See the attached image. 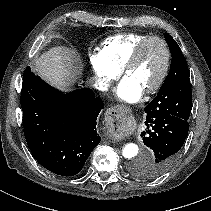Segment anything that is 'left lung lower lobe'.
<instances>
[{"mask_svg":"<svg viewBox=\"0 0 211 211\" xmlns=\"http://www.w3.org/2000/svg\"><path fill=\"white\" fill-rule=\"evenodd\" d=\"M147 131L141 133L152 158L137 163L143 177L155 178L176 161L189 131L188 121L169 114L147 117Z\"/></svg>","mask_w":211,"mask_h":211,"instance_id":"0a47b994","label":"left lung lower lobe"}]
</instances>
